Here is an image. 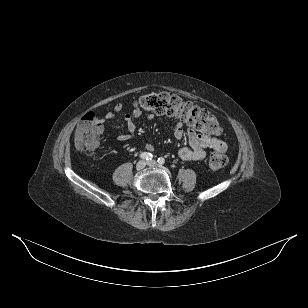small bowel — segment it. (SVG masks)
<instances>
[{
  "mask_svg": "<svg viewBox=\"0 0 308 308\" xmlns=\"http://www.w3.org/2000/svg\"><path fill=\"white\" fill-rule=\"evenodd\" d=\"M123 112V105L117 104L114 107V113L109 112L104 118H100L103 128L105 125H110L115 128H126L125 132L118 135L117 139L121 142L131 140L138 127L142 112L139 109H134L131 113L124 114L121 118L117 115ZM155 118V114H147L145 119L151 121ZM174 136L181 139L185 135V131L180 122H176L173 126ZM189 146L182 147L178 150V157L184 161H201L205 158L207 148L225 153L227 150L226 143L213 136L198 133L194 128L190 127L186 131ZM148 150H152L151 144H146Z\"/></svg>",
  "mask_w": 308,
  "mask_h": 308,
  "instance_id": "c3829d8e",
  "label": "small bowel"
}]
</instances>
